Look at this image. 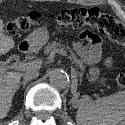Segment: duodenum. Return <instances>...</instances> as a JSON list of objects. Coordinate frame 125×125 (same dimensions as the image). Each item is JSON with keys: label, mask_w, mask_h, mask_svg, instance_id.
I'll use <instances>...</instances> for the list:
<instances>
[{"label": "duodenum", "mask_w": 125, "mask_h": 125, "mask_svg": "<svg viewBox=\"0 0 125 125\" xmlns=\"http://www.w3.org/2000/svg\"><path fill=\"white\" fill-rule=\"evenodd\" d=\"M18 47L22 52H26L28 50V44L26 42H21Z\"/></svg>", "instance_id": "duodenum-1"}]
</instances>
